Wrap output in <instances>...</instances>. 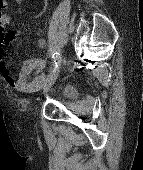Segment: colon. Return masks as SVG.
<instances>
[{
	"instance_id": "colon-1",
	"label": "colon",
	"mask_w": 143,
	"mask_h": 170,
	"mask_svg": "<svg viewBox=\"0 0 143 170\" xmlns=\"http://www.w3.org/2000/svg\"><path fill=\"white\" fill-rule=\"evenodd\" d=\"M6 8L5 0H0V14Z\"/></svg>"
}]
</instances>
